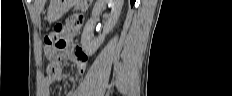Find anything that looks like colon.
<instances>
[{
  "mask_svg": "<svg viewBox=\"0 0 232 96\" xmlns=\"http://www.w3.org/2000/svg\"><path fill=\"white\" fill-rule=\"evenodd\" d=\"M68 22H71V20H68ZM63 29L64 26L62 24H57L54 30L45 38L46 55L51 61H53L50 65L51 72H57L60 69L56 62L60 59L61 53L66 46V42L62 36Z\"/></svg>",
  "mask_w": 232,
  "mask_h": 96,
  "instance_id": "obj_1",
  "label": "colon"
}]
</instances>
